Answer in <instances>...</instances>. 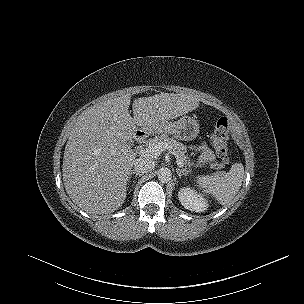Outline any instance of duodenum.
Returning a JSON list of instances; mask_svg holds the SVG:
<instances>
[{
  "instance_id": "1",
  "label": "duodenum",
  "mask_w": 304,
  "mask_h": 304,
  "mask_svg": "<svg viewBox=\"0 0 304 304\" xmlns=\"http://www.w3.org/2000/svg\"><path fill=\"white\" fill-rule=\"evenodd\" d=\"M143 138H144V133L142 131H138L135 133L134 136L135 141L140 142L143 140Z\"/></svg>"
}]
</instances>
